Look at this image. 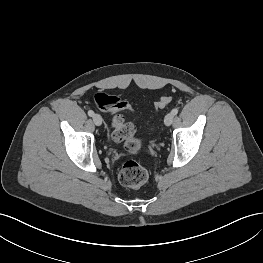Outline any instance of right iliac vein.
I'll use <instances>...</instances> for the list:
<instances>
[{"label":"right iliac vein","mask_w":263,"mask_h":263,"mask_svg":"<svg viewBox=\"0 0 263 263\" xmlns=\"http://www.w3.org/2000/svg\"><path fill=\"white\" fill-rule=\"evenodd\" d=\"M93 122L95 125L100 126L102 124V117L99 114H94Z\"/></svg>","instance_id":"63e3f726"}]
</instances>
